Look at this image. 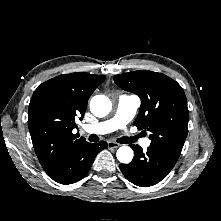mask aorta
Returning a JSON list of instances; mask_svg holds the SVG:
<instances>
[{"mask_svg":"<svg viewBox=\"0 0 221 221\" xmlns=\"http://www.w3.org/2000/svg\"><path fill=\"white\" fill-rule=\"evenodd\" d=\"M90 110L96 117H104L111 111V101L105 95H96L91 99ZM117 159L123 163H130L134 153L129 146H122L117 150Z\"/></svg>","mask_w":221,"mask_h":221,"instance_id":"762f6f07","label":"aorta"}]
</instances>
